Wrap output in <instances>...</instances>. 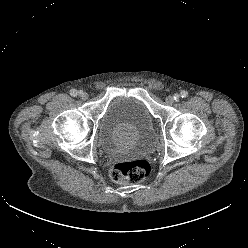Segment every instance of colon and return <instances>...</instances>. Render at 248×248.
Here are the masks:
<instances>
[{"label":"colon","mask_w":248,"mask_h":248,"mask_svg":"<svg viewBox=\"0 0 248 248\" xmlns=\"http://www.w3.org/2000/svg\"><path fill=\"white\" fill-rule=\"evenodd\" d=\"M111 179L119 184H135L150 173V164L144 159L114 163L110 168Z\"/></svg>","instance_id":"1"}]
</instances>
